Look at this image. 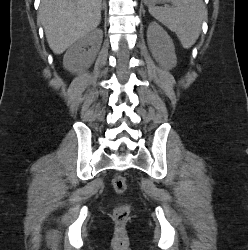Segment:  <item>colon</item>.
Segmentation results:
<instances>
[{
    "mask_svg": "<svg viewBox=\"0 0 248 250\" xmlns=\"http://www.w3.org/2000/svg\"><path fill=\"white\" fill-rule=\"evenodd\" d=\"M112 187L117 194H123L127 189L126 178L122 175H116L112 179ZM129 214L128 206H121L114 211V218L117 222H124Z\"/></svg>",
    "mask_w": 248,
    "mask_h": 250,
    "instance_id": "5ec220e1",
    "label": "colon"
}]
</instances>
